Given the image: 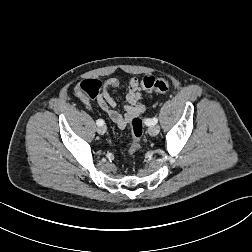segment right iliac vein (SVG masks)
<instances>
[{
    "instance_id": "obj_1",
    "label": "right iliac vein",
    "mask_w": 252,
    "mask_h": 252,
    "mask_svg": "<svg viewBox=\"0 0 252 252\" xmlns=\"http://www.w3.org/2000/svg\"><path fill=\"white\" fill-rule=\"evenodd\" d=\"M97 132H98L99 134H104V133L106 132V126H105L104 124L101 125V126H98Z\"/></svg>"
}]
</instances>
